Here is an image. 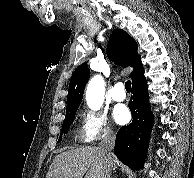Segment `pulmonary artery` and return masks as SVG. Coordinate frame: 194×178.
I'll return each mask as SVG.
<instances>
[{
	"instance_id": "e3ab8cb5",
	"label": "pulmonary artery",
	"mask_w": 194,
	"mask_h": 178,
	"mask_svg": "<svg viewBox=\"0 0 194 178\" xmlns=\"http://www.w3.org/2000/svg\"><path fill=\"white\" fill-rule=\"evenodd\" d=\"M111 97L114 101H123L126 97V93L122 83H117L111 90Z\"/></svg>"
}]
</instances>
